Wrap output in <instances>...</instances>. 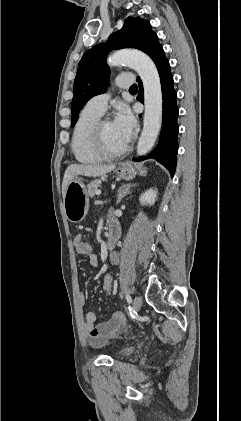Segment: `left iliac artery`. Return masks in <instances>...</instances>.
I'll list each match as a JSON object with an SVG mask.
<instances>
[{"label": "left iliac artery", "mask_w": 241, "mask_h": 421, "mask_svg": "<svg viewBox=\"0 0 241 421\" xmlns=\"http://www.w3.org/2000/svg\"><path fill=\"white\" fill-rule=\"evenodd\" d=\"M126 300L130 304L132 302L131 297L129 294H126Z\"/></svg>", "instance_id": "1"}]
</instances>
